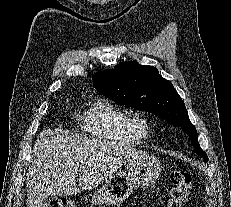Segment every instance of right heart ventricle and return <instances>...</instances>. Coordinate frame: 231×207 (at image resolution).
Wrapping results in <instances>:
<instances>
[{
    "label": "right heart ventricle",
    "mask_w": 231,
    "mask_h": 207,
    "mask_svg": "<svg viewBox=\"0 0 231 207\" xmlns=\"http://www.w3.org/2000/svg\"><path fill=\"white\" fill-rule=\"evenodd\" d=\"M79 118L81 130L91 137L131 144L141 141L129 111L108 99H96L80 112Z\"/></svg>",
    "instance_id": "right-heart-ventricle-1"
}]
</instances>
